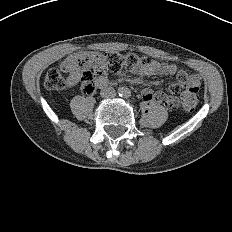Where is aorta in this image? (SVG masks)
<instances>
[{
	"mask_svg": "<svg viewBox=\"0 0 232 232\" xmlns=\"http://www.w3.org/2000/svg\"><path fill=\"white\" fill-rule=\"evenodd\" d=\"M119 93L122 96H128L130 94V90L128 88H121Z\"/></svg>",
	"mask_w": 232,
	"mask_h": 232,
	"instance_id": "obj_1",
	"label": "aorta"
}]
</instances>
